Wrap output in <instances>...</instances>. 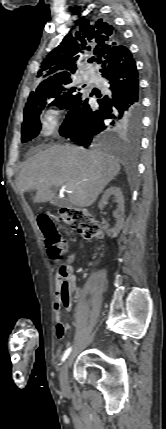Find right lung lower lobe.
I'll list each match as a JSON object with an SVG mask.
<instances>
[{"instance_id": "obj_1", "label": "right lung lower lobe", "mask_w": 166, "mask_h": 429, "mask_svg": "<svg viewBox=\"0 0 166 429\" xmlns=\"http://www.w3.org/2000/svg\"><path fill=\"white\" fill-rule=\"evenodd\" d=\"M98 63L102 64L100 71L108 80L109 91L97 95L99 106L95 110L90 108L88 98L80 95L59 129L61 136L85 148L96 144L104 131L128 130L137 135L141 127L138 71L130 51L123 46L120 52Z\"/></svg>"}]
</instances>
